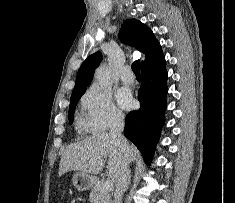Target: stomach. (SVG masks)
<instances>
[{
	"label": "stomach",
	"mask_w": 235,
	"mask_h": 203,
	"mask_svg": "<svg viewBox=\"0 0 235 203\" xmlns=\"http://www.w3.org/2000/svg\"><path fill=\"white\" fill-rule=\"evenodd\" d=\"M96 178L84 172H77L73 175V186L79 191H86L92 188L96 183Z\"/></svg>",
	"instance_id": "obj_1"
}]
</instances>
